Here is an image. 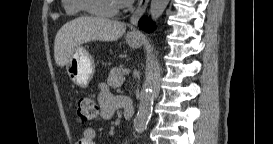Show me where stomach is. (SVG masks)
I'll return each mask as SVG.
<instances>
[{
	"mask_svg": "<svg viewBox=\"0 0 273 144\" xmlns=\"http://www.w3.org/2000/svg\"><path fill=\"white\" fill-rule=\"evenodd\" d=\"M126 41L132 48H137L141 45L140 37L127 36ZM66 70L72 82L82 88H86L95 73V62L84 47L78 46L67 62Z\"/></svg>",
	"mask_w": 273,
	"mask_h": 144,
	"instance_id": "0dacf381",
	"label": "stomach"
}]
</instances>
